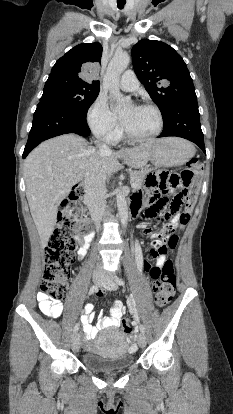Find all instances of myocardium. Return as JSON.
Masks as SVG:
<instances>
[{
  "label": "myocardium",
  "instance_id": "1",
  "mask_svg": "<svg viewBox=\"0 0 233 414\" xmlns=\"http://www.w3.org/2000/svg\"><path fill=\"white\" fill-rule=\"evenodd\" d=\"M138 106L139 107H143V108L152 109L157 114L158 121H159L157 130L154 133H152V134H150L148 136H138V135H135L134 133H132L126 127V125L124 124L123 120L120 118V128H121L122 133L128 139H130L132 141H136V142H145V141H150L152 139H155L156 137H158L162 133L163 128H164V116H163L162 111L160 110V108L157 105H155L153 103H149V102L141 103Z\"/></svg>",
  "mask_w": 233,
  "mask_h": 414
}]
</instances>
